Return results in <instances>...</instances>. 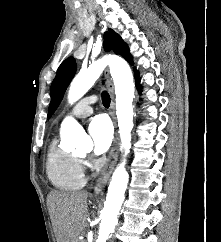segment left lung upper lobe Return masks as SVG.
<instances>
[{"mask_svg":"<svg viewBox=\"0 0 221 242\" xmlns=\"http://www.w3.org/2000/svg\"><path fill=\"white\" fill-rule=\"evenodd\" d=\"M105 51L113 50L132 64V56L126 43L113 30H109L104 35ZM76 72V62L73 57H69L59 66L56 77L51 84V102L49 105V117L54 113L60 104L64 92Z\"/></svg>","mask_w":221,"mask_h":242,"instance_id":"5c2ea615","label":"left lung upper lobe"}]
</instances>
